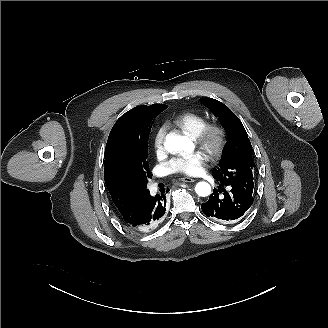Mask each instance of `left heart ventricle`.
Instances as JSON below:
<instances>
[{"label": "left heart ventricle", "instance_id": "obj_1", "mask_svg": "<svg viewBox=\"0 0 328 328\" xmlns=\"http://www.w3.org/2000/svg\"><path fill=\"white\" fill-rule=\"evenodd\" d=\"M200 149H201V148H200ZM192 150H193V149H192ZM192 150H191V151H192ZM201 150H202V149H201ZM191 151H190V152H191ZM203 151H204V150H203ZM200 153H201V152H200ZM204 153L207 154L209 157H211L207 152L204 151ZM204 153H202V154L206 157V162H207L208 158H207V156H206Z\"/></svg>", "mask_w": 328, "mask_h": 328}]
</instances>
